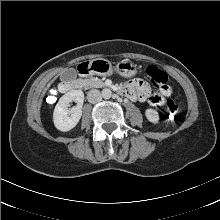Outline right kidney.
I'll return each instance as SVG.
<instances>
[{"label": "right kidney", "instance_id": "obj_1", "mask_svg": "<svg viewBox=\"0 0 220 220\" xmlns=\"http://www.w3.org/2000/svg\"><path fill=\"white\" fill-rule=\"evenodd\" d=\"M77 105L69 108L71 102ZM84 103V93L81 90H72L63 95L53 112L55 127L63 132L70 131L79 122L82 116V106Z\"/></svg>", "mask_w": 220, "mask_h": 220}]
</instances>
